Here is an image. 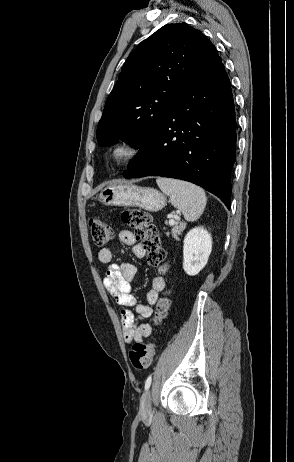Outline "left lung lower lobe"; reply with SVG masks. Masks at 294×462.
<instances>
[{"label": "left lung lower lobe", "instance_id": "left-lung-lower-lobe-1", "mask_svg": "<svg viewBox=\"0 0 294 462\" xmlns=\"http://www.w3.org/2000/svg\"><path fill=\"white\" fill-rule=\"evenodd\" d=\"M125 178L162 176L197 184L230 209L236 120L230 80L221 62L179 96L156 137L140 148Z\"/></svg>", "mask_w": 294, "mask_h": 462}]
</instances>
